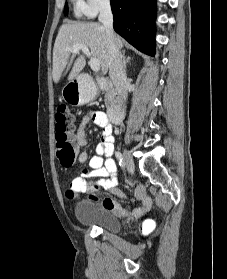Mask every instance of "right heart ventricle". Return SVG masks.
Instances as JSON below:
<instances>
[{
	"label": "right heart ventricle",
	"instance_id": "1",
	"mask_svg": "<svg viewBox=\"0 0 227 279\" xmlns=\"http://www.w3.org/2000/svg\"><path fill=\"white\" fill-rule=\"evenodd\" d=\"M77 11H78V12H80V11H81V10L78 8V5H77Z\"/></svg>",
	"mask_w": 227,
	"mask_h": 279
}]
</instances>
